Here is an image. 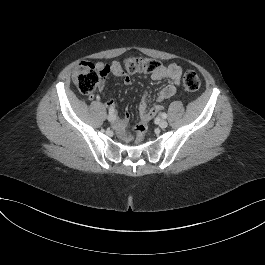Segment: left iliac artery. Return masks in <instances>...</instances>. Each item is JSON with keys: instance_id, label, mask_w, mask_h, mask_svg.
Masks as SVG:
<instances>
[{"instance_id": "44dca946", "label": "left iliac artery", "mask_w": 265, "mask_h": 265, "mask_svg": "<svg viewBox=\"0 0 265 265\" xmlns=\"http://www.w3.org/2000/svg\"><path fill=\"white\" fill-rule=\"evenodd\" d=\"M161 116H162L163 119H166L167 118V114L166 113H162Z\"/></svg>"}]
</instances>
